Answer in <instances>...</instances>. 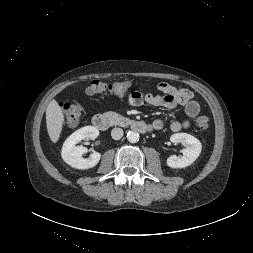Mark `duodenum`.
<instances>
[{"instance_id":"obj_1","label":"duodenum","mask_w":253,"mask_h":253,"mask_svg":"<svg viewBox=\"0 0 253 253\" xmlns=\"http://www.w3.org/2000/svg\"><path fill=\"white\" fill-rule=\"evenodd\" d=\"M92 124L99 130H106L110 126V121L106 115L96 114L92 118ZM131 128L139 133H146L152 129L151 125L144 123L142 121L132 122Z\"/></svg>"}]
</instances>
